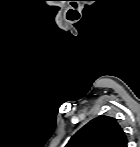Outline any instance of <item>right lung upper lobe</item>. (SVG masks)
<instances>
[{"label":"right lung upper lobe","instance_id":"right-lung-upper-lobe-1","mask_svg":"<svg viewBox=\"0 0 140 147\" xmlns=\"http://www.w3.org/2000/svg\"><path fill=\"white\" fill-rule=\"evenodd\" d=\"M127 137L115 118L99 116L87 123L66 147H127Z\"/></svg>","mask_w":140,"mask_h":147}]
</instances>
